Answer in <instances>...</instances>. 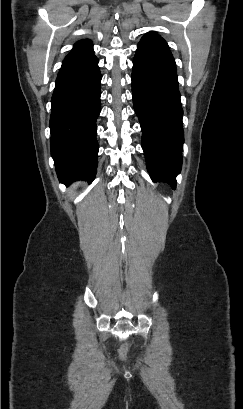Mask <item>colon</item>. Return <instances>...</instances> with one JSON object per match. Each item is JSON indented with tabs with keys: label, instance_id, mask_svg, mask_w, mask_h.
I'll return each mask as SVG.
<instances>
[{
	"label": "colon",
	"instance_id": "1",
	"mask_svg": "<svg viewBox=\"0 0 243 409\" xmlns=\"http://www.w3.org/2000/svg\"><path fill=\"white\" fill-rule=\"evenodd\" d=\"M128 351H129V345L124 344L119 350V356L124 358L127 355Z\"/></svg>",
	"mask_w": 243,
	"mask_h": 409
}]
</instances>
